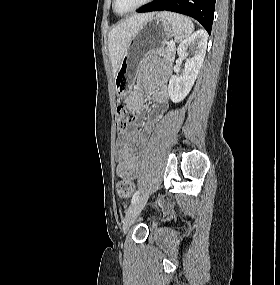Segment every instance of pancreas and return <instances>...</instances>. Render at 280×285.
Returning a JSON list of instances; mask_svg holds the SVG:
<instances>
[{
	"mask_svg": "<svg viewBox=\"0 0 280 285\" xmlns=\"http://www.w3.org/2000/svg\"><path fill=\"white\" fill-rule=\"evenodd\" d=\"M153 53L164 57L166 60L173 61L175 56V48L167 45L166 47L163 46L161 48L155 49Z\"/></svg>",
	"mask_w": 280,
	"mask_h": 285,
	"instance_id": "cf45deb5",
	"label": "pancreas"
}]
</instances>
